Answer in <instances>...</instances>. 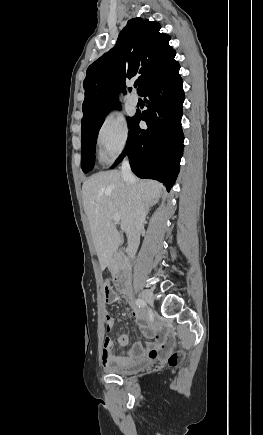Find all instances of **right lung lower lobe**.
Returning <instances> with one entry per match:
<instances>
[{"instance_id": "98d812e1", "label": "right lung lower lobe", "mask_w": 263, "mask_h": 435, "mask_svg": "<svg viewBox=\"0 0 263 435\" xmlns=\"http://www.w3.org/2000/svg\"><path fill=\"white\" fill-rule=\"evenodd\" d=\"M179 69L176 63L140 94L149 98L148 109L133 117L127 147L112 166L128 155L134 174L158 180L168 191L179 173L184 141L181 129L184 92ZM140 120L146 122L148 129H140Z\"/></svg>"}]
</instances>
